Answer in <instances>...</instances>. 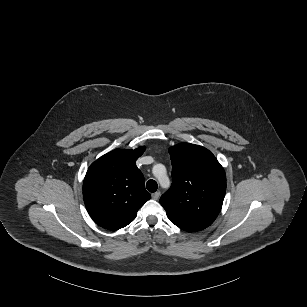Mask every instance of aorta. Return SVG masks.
I'll list each match as a JSON object with an SVG mask.
<instances>
[{"label":"aorta","instance_id":"aorta-1","mask_svg":"<svg viewBox=\"0 0 307 307\" xmlns=\"http://www.w3.org/2000/svg\"><path fill=\"white\" fill-rule=\"evenodd\" d=\"M152 175L159 182L160 187L163 190L169 189L171 186L170 177L167 172V168L162 163H156L152 166Z\"/></svg>","mask_w":307,"mask_h":307}]
</instances>
